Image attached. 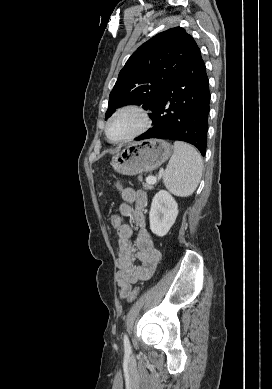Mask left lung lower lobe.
I'll list each match as a JSON object with an SVG mask.
<instances>
[{
	"label": "left lung lower lobe",
	"instance_id": "left-lung-lower-lobe-1",
	"mask_svg": "<svg viewBox=\"0 0 272 389\" xmlns=\"http://www.w3.org/2000/svg\"><path fill=\"white\" fill-rule=\"evenodd\" d=\"M209 102V80L199 51L164 89L151 114L153 128L136 140L185 141L205 155Z\"/></svg>",
	"mask_w": 272,
	"mask_h": 389
}]
</instances>
